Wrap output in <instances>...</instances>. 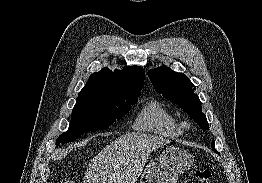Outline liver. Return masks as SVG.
Wrapping results in <instances>:
<instances>
[{
	"instance_id": "liver-1",
	"label": "liver",
	"mask_w": 262,
	"mask_h": 183,
	"mask_svg": "<svg viewBox=\"0 0 262 183\" xmlns=\"http://www.w3.org/2000/svg\"><path fill=\"white\" fill-rule=\"evenodd\" d=\"M169 142L155 135L126 133L91 160L84 183H135L150 153Z\"/></svg>"
}]
</instances>
